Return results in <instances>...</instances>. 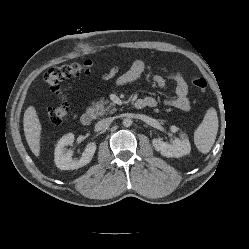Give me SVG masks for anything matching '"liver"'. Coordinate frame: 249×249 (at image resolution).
I'll return each mask as SVG.
<instances>
[{
  "label": "liver",
  "mask_w": 249,
  "mask_h": 249,
  "mask_svg": "<svg viewBox=\"0 0 249 249\" xmlns=\"http://www.w3.org/2000/svg\"><path fill=\"white\" fill-rule=\"evenodd\" d=\"M23 127L28 146L32 153L38 157L40 155V138L42 126L35 107L29 106L26 109L23 118Z\"/></svg>",
  "instance_id": "6515ba94"
}]
</instances>
